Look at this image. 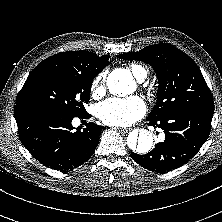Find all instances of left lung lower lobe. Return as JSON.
<instances>
[{"label": "left lung lower lobe", "instance_id": "0a47b994", "mask_svg": "<svg viewBox=\"0 0 222 222\" xmlns=\"http://www.w3.org/2000/svg\"><path fill=\"white\" fill-rule=\"evenodd\" d=\"M214 110L186 108L159 120L146 119L165 132V140L145 155L131 153L132 159L148 170L163 173L179 168L206 142Z\"/></svg>", "mask_w": 222, "mask_h": 222}]
</instances>
